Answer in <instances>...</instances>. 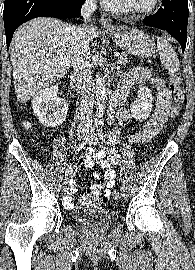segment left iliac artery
I'll return each instance as SVG.
<instances>
[{"label": "left iliac artery", "instance_id": "obj_1", "mask_svg": "<svg viewBox=\"0 0 195 270\" xmlns=\"http://www.w3.org/2000/svg\"><path fill=\"white\" fill-rule=\"evenodd\" d=\"M97 131H98V135H99L100 139L103 140V130H102V126L99 125L98 128H97ZM122 183H123V185L126 184V180H125L124 178L122 179Z\"/></svg>", "mask_w": 195, "mask_h": 270}]
</instances>
